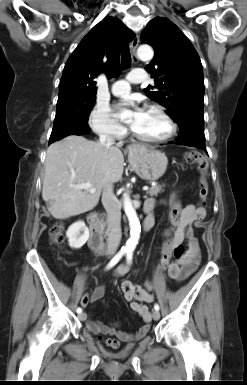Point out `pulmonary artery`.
<instances>
[{
  "instance_id": "e3ab8cb5",
  "label": "pulmonary artery",
  "mask_w": 247,
  "mask_h": 385,
  "mask_svg": "<svg viewBox=\"0 0 247 385\" xmlns=\"http://www.w3.org/2000/svg\"><path fill=\"white\" fill-rule=\"evenodd\" d=\"M145 79V71L143 69H135L128 74L127 80L115 81L112 84L111 91L116 96H124L130 91V83H142Z\"/></svg>"
}]
</instances>
